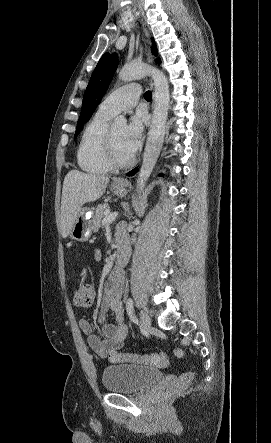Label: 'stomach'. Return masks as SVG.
Returning <instances> with one entry per match:
<instances>
[{
    "mask_svg": "<svg viewBox=\"0 0 271 443\" xmlns=\"http://www.w3.org/2000/svg\"><path fill=\"white\" fill-rule=\"evenodd\" d=\"M121 182L122 186H117ZM128 182H122V180H114L111 186V192L115 194V196H126L128 190H126L125 186H127ZM93 212L91 210H83L80 212L79 216H77V220L73 223V227L70 231L71 239H77V241H87L89 237H91L92 222H90L92 218Z\"/></svg>",
    "mask_w": 271,
    "mask_h": 443,
    "instance_id": "obj_1",
    "label": "stomach"
}]
</instances>
